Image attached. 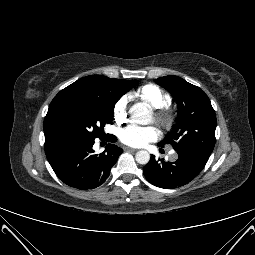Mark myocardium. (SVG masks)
I'll list each match as a JSON object with an SVG mask.
<instances>
[{
    "instance_id": "1",
    "label": "myocardium",
    "mask_w": 255,
    "mask_h": 255,
    "mask_svg": "<svg viewBox=\"0 0 255 255\" xmlns=\"http://www.w3.org/2000/svg\"><path fill=\"white\" fill-rule=\"evenodd\" d=\"M155 122L163 127H169L174 121V116L168 107L155 108L153 113Z\"/></svg>"
}]
</instances>
